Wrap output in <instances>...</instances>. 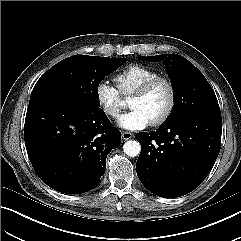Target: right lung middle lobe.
<instances>
[{"label":"right lung middle lobe","mask_w":241,"mask_h":241,"mask_svg":"<svg viewBox=\"0 0 241 241\" xmlns=\"http://www.w3.org/2000/svg\"><path fill=\"white\" fill-rule=\"evenodd\" d=\"M126 58L74 55L51 67L34 86L29 104L50 99L71 102L87 110L99 109L98 86Z\"/></svg>","instance_id":"obj_1"}]
</instances>
